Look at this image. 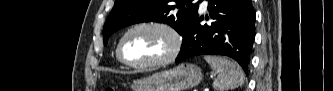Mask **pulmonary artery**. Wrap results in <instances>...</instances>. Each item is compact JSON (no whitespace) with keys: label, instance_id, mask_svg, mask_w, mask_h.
<instances>
[{"label":"pulmonary artery","instance_id":"obj_1","mask_svg":"<svg viewBox=\"0 0 333 91\" xmlns=\"http://www.w3.org/2000/svg\"><path fill=\"white\" fill-rule=\"evenodd\" d=\"M207 7V2L206 1H203V4H202V9L205 10Z\"/></svg>","mask_w":333,"mask_h":91}]
</instances>
